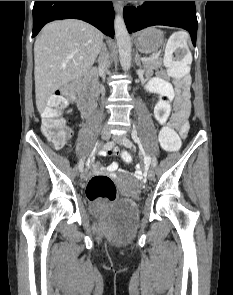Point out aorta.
I'll list each match as a JSON object with an SVG mask.
<instances>
[{"mask_svg": "<svg viewBox=\"0 0 233 295\" xmlns=\"http://www.w3.org/2000/svg\"><path fill=\"white\" fill-rule=\"evenodd\" d=\"M114 29L121 67L124 70H128L131 66V41L121 15L115 17Z\"/></svg>", "mask_w": 233, "mask_h": 295, "instance_id": "1", "label": "aorta"}]
</instances>
